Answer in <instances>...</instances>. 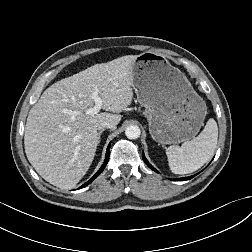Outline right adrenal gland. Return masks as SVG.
<instances>
[{"mask_svg": "<svg viewBox=\"0 0 252 252\" xmlns=\"http://www.w3.org/2000/svg\"><path fill=\"white\" fill-rule=\"evenodd\" d=\"M104 129L100 130L99 132V136L103 133Z\"/></svg>", "mask_w": 252, "mask_h": 252, "instance_id": "right-adrenal-gland-1", "label": "right adrenal gland"}]
</instances>
